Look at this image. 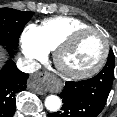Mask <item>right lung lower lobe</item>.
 <instances>
[{
    "label": "right lung lower lobe",
    "instance_id": "right-lung-lower-lobe-1",
    "mask_svg": "<svg viewBox=\"0 0 117 117\" xmlns=\"http://www.w3.org/2000/svg\"><path fill=\"white\" fill-rule=\"evenodd\" d=\"M29 74L21 72L9 59L0 70V117H12L16 108V93L26 89Z\"/></svg>",
    "mask_w": 117,
    "mask_h": 117
}]
</instances>
